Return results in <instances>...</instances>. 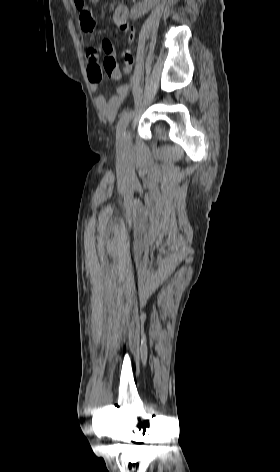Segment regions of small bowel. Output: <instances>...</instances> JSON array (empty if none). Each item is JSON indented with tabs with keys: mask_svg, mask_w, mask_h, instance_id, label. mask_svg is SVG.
<instances>
[{
	"mask_svg": "<svg viewBox=\"0 0 280 472\" xmlns=\"http://www.w3.org/2000/svg\"><path fill=\"white\" fill-rule=\"evenodd\" d=\"M94 3L100 0H91ZM76 9L79 12V23L81 29L85 33H92L95 29V19L91 9L87 6L85 0H73ZM129 9L126 5H118L113 12V21L115 25L123 32L128 34V40L132 43L135 40V30L130 26L128 22ZM100 53L104 54L105 59H112L116 61L115 50L112 43L104 39L101 42L100 47H90L86 52L87 74L90 81L91 89L96 91L99 83L102 80L103 70L99 63ZM130 66H126L121 72L122 74L128 73ZM129 87L126 84L119 85L115 93L109 98L104 96H97L95 99L96 106L102 113V115L108 120L112 121L115 119L124 99L128 95Z\"/></svg>",
	"mask_w": 280,
	"mask_h": 472,
	"instance_id": "small-bowel-1",
	"label": "small bowel"
}]
</instances>
